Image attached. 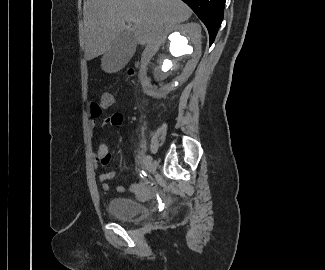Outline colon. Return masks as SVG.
I'll use <instances>...</instances> for the list:
<instances>
[{
    "label": "colon",
    "instance_id": "obj_1",
    "mask_svg": "<svg viewBox=\"0 0 325 270\" xmlns=\"http://www.w3.org/2000/svg\"><path fill=\"white\" fill-rule=\"evenodd\" d=\"M132 73H133V71H130V74H132ZM100 102L106 108L111 107L115 103V96H114V94H112L110 92H104L101 96Z\"/></svg>",
    "mask_w": 325,
    "mask_h": 270
}]
</instances>
